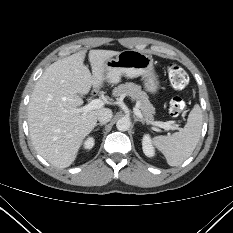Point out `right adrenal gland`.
<instances>
[{"instance_id": "1", "label": "right adrenal gland", "mask_w": 233, "mask_h": 233, "mask_svg": "<svg viewBox=\"0 0 233 233\" xmlns=\"http://www.w3.org/2000/svg\"><path fill=\"white\" fill-rule=\"evenodd\" d=\"M105 124H106V123H97L96 126H98V125H99V126H103V125H105Z\"/></svg>"}]
</instances>
